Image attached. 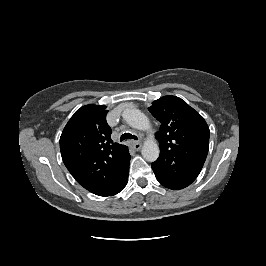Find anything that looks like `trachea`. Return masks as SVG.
I'll return each mask as SVG.
<instances>
[{
	"label": "trachea",
	"mask_w": 266,
	"mask_h": 266,
	"mask_svg": "<svg viewBox=\"0 0 266 266\" xmlns=\"http://www.w3.org/2000/svg\"><path fill=\"white\" fill-rule=\"evenodd\" d=\"M128 139L138 140L137 136L132 135L131 133H124L120 137L121 142Z\"/></svg>",
	"instance_id": "3493384b"
}]
</instances>
